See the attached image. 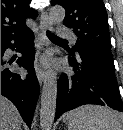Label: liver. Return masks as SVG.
Here are the masks:
<instances>
[{"label": "liver", "instance_id": "liver-1", "mask_svg": "<svg viewBox=\"0 0 123 130\" xmlns=\"http://www.w3.org/2000/svg\"><path fill=\"white\" fill-rule=\"evenodd\" d=\"M22 118L17 108L1 96V130H21Z\"/></svg>", "mask_w": 123, "mask_h": 130}]
</instances>
